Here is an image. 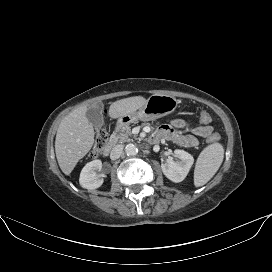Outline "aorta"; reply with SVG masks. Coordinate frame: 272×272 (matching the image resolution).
Masks as SVG:
<instances>
[{
  "mask_svg": "<svg viewBox=\"0 0 272 272\" xmlns=\"http://www.w3.org/2000/svg\"><path fill=\"white\" fill-rule=\"evenodd\" d=\"M125 152L128 156H135L138 153V148L134 144L129 143L125 147Z\"/></svg>",
  "mask_w": 272,
  "mask_h": 272,
  "instance_id": "762f6f07",
  "label": "aorta"
}]
</instances>
